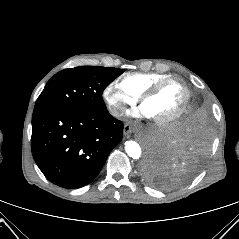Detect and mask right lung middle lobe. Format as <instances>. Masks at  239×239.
Wrapping results in <instances>:
<instances>
[{
  "label": "right lung middle lobe",
  "instance_id": "right-lung-middle-lobe-1",
  "mask_svg": "<svg viewBox=\"0 0 239 239\" xmlns=\"http://www.w3.org/2000/svg\"><path fill=\"white\" fill-rule=\"evenodd\" d=\"M124 71L101 66H79L55 74L39 95L35 110L66 107L100 111L106 109L104 89Z\"/></svg>",
  "mask_w": 239,
  "mask_h": 239
}]
</instances>
